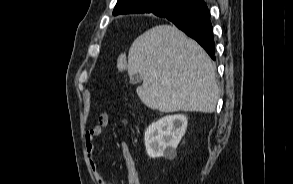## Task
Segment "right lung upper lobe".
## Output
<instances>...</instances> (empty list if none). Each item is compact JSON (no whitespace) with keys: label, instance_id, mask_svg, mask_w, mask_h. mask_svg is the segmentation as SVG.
<instances>
[{"label":"right lung upper lobe","instance_id":"right-lung-upper-lobe-1","mask_svg":"<svg viewBox=\"0 0 293 184\" xmlns=\"http://www.w3.org/2000/svg\"><path fill=\"white\" fill-rule=\"evenodd\" d=\"M203 4V0H118L113 15L153 13L163 17L176 9L189 4Z\"/></svg>","mask_w":293,"mask_h":184}]
</instances>
